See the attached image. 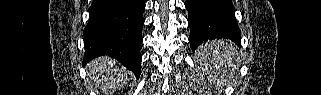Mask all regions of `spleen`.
Returning a JSON list of instances; mask_svg holds the SVG:
<instances>
[{"label":"spleen","mask_w":321,"mask_h":95,"mask_svg":"<svg viewBox=\"0 0 321 95\" xmlns=\"http://www.w3.org/2000/svg\"><path fill=\"white\" fill-rule=\"evenodd\" d=\"M197 55L200 66L215 86L229 84L239 67L237 48L225 40L206 42L198 48Z\"/></svg>","instance_id":"1"}]
</instances>
